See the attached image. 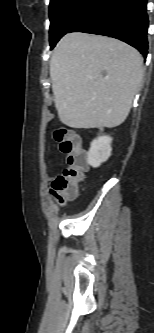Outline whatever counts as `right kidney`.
I'll return each mask as SVG.
<instances>
[{"label":"right kidney","mask_w":154,"mask_h":333,"mask_svg":"<svg viewBox=\"0 0 154 333\" xmlns=\"http://www.w3.org/2000/svg\"><path fill=\"white\" fill-rule=\"evenodd\" d=\"M110 136H99L91 142L89 152L87 154V163L92 167H99L103 162L111 156Z\"/></svg>","instance_id":"1"}]
</instances>
